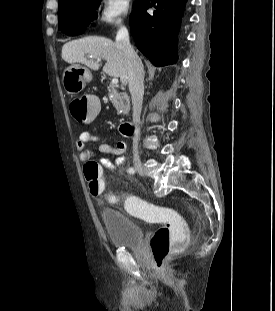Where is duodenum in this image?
<instances>
[{"mask_svg":"<svg viewBox=\"0 0 275 311\" xmlns=\"http://www.w3.org/2000/svg\"><path fill=\"white\" fill-rule=\"evenodd\" d=\"M119 130L122 135L131 136L134 134L135 126L133 123H130V122H122L120 124Z\"/></svg>","mask_w":275,"mask_h":311,"instance_id":"410a0bca","label":"duodenum"}]
</instances>
